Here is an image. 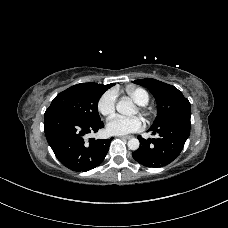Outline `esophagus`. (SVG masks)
I'll return each mask as SVG.
<instances>
[{
    "mask_svg": "<svg viewBox=\"0 0 228 228\" xmlns=\"http://www.w3.org/2000/svg\"><path fill=\"white\" fill-rule=\"evenodd\" d=\"M119 138H122V139H131L132 136L128 135V136H118Z\"/></svg>",
    "mask_w": 228,
    "mask_h": 228,
    "instance_id": "obj_1",
    "label": "esophagus"
}]
</instances>
